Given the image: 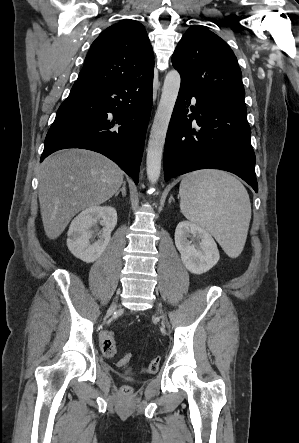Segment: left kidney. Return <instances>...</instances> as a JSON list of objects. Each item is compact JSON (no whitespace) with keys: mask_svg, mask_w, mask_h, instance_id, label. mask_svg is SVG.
Returning <instances> with one entry per match:
<instances>
[{"mask_svg":"<svg viewBox=\"0 0 299 443\" xmlns=\"http://www.w3.org/2000/svg\"><path fill=\"white\" fill-rule=\"evenodd\" d=\"M175 244L182 263L193 274L209 271L219 260V251L212 236L192 222L183 221L177 225Z\"/></svg>","mask_w":299,"mask_h":443,"instance_id":"1","label":"left kidney"}]
</instances>
